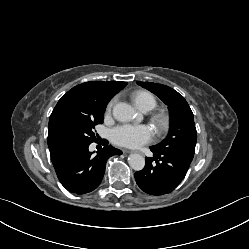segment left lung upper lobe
I'll use <instances>...</instances> for the list:
<instances>
[{
    "label": "left lung upper lobe",
    "mask_w": 249,
    "mask_h": 249,
    "mask_svg": "<svg viewBox=\"0 0 249 249\" xmlns=\"http://www.w3.org/2000/svg\"><path fill=\"white\" fill-rule=\"evenodd\" d=\"M157 95L167 106L171 114V125L168 136L153 147L163 152H177L194 156L197 132L193 113L184 99L174 89L152 82H137Z\"/></svg>",
    "instance_id": "5c2ea615"
}]
</instances>
